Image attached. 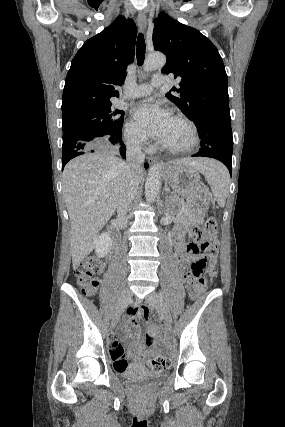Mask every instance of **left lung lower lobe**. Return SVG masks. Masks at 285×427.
Returning <instances> with one entry per match:
<instances>
[{
    "label": "left lung lower lobe",
    "mask_w": 285,
    "mask_h": 427,
    "mask_svg": "<svg viewBox=\"0 0 285 427\" xmlns=\"http://www.w3.org/2000/svg\"><path fill=\"white\" fill-rule=\"evenodd\" d=\"M194 123L198 128L201 148L193 157H210L221 161L231 172L233 138L231 117L206 113L199 115Z\"/></svg>",
    "instance_id": "left-lung-lower-lobe-1"
}]
</instances>
